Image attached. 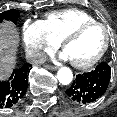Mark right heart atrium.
Listing matches in <instances>:
<instances>
[{"label": "right heart atrium", "mask_w": 117, "mask_h": 117, "mask_svg": "<svg viewBox=\"0 0 117 117\" xmlns=\"http://www.w3.org/2000/svg\"><path fill=\"white\" fill-rule=\"evenodd\" d=\"M22 42L28 59L35 63L41 62L44 53L59 45L43 21H26L22 27Z\"/></svg>", "instance_id": "d8ad5b80"}]
</instances>
